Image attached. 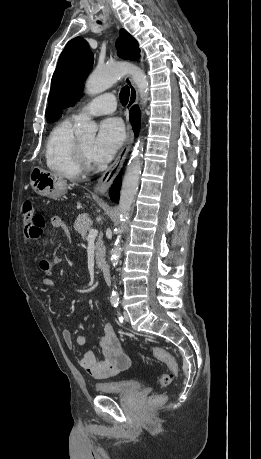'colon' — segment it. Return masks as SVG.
I'll return each instance as SVG.
<instances>
[{"label": "colon", "instance_id": "1", "mask_svg": "<svg viewBox=\"0 0 261 459\" xmlns=\"http://www.w3.org/2000/svg\"><path fill=\"white\" fill-rule=\"evenodd\" d=\"M23 212L25 217L23 219L24 224L20 227L21 234L31 235L32 233H41L46 226V220L44 216L33 213V205L30 200L24 202ZM152 354L156 359L164 362L170 369V371L163 372L159 376V384L166 387L172 382L173 374L178 371V364L175 358L161 347H154ZM162 399L161 396H151L149 403L155 405L160 403Z\"/></svg>", "mask_w": 261, "mask_h": 459}]
</instances>
